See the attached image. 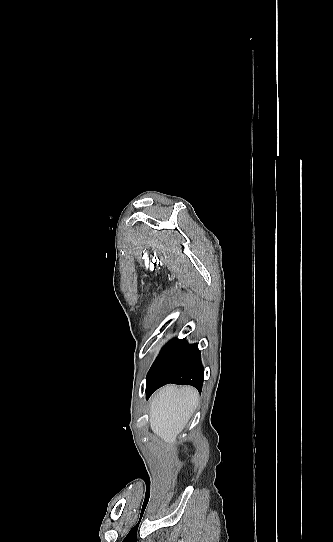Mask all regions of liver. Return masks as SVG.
Returning a JSON list of instances; mask_svg holds the SVG:
<instances>
[{"mask_svg":"<svg viewBox=\"0 0 333 542\" xmlns=\"http://www.w3.org/2000/svg\"><path fill=\"white\" fill-rule=\"evenodd\" d=\"M197 404L198 392L194 388L165 386L151 402L149 422L152 432L167 444H174Z\"/></svg>","mask_w":333,"mask_h":542,"instance_id":"liver-1","label":"liver"}]
</instances>
